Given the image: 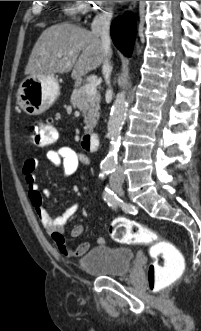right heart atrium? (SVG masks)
Wrapping results in <instances>:
<instances>
[{"instance_id": "right-heart-atrium-1", "label": "right heart atrium", "mask_w": 201, "mask_h": 331, "mask_svg": "<svg viewBox=\"0 0 201 331\" xmlns=\"http://www.w3.org/2000/svg\"><path fill=\"white\" fill-rule=\"evenodd\" d=\"M82 12L87 19H98L99 16H108V1H78Z\"/></svg>"}]
</instances>
